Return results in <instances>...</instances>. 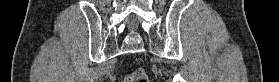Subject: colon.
Listing matches in <instances>:
<instances>
[{"label": "colon", "mask_w": 279, "mask_h": 82, "mask_svg": "<svg viewBox=\"0 0 279 82\" xmlns=\"http://www.w3.org/2000/svg\"><path fill=\"white\" fill-rule=\"evenodd\" d=\"M124 82H149V77L145 69L139 68L127 75Z\"/></svg>", "instance_id": "5ec220e1"}]
</instances>
